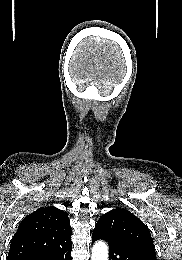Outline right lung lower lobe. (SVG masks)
I'll return each mask as SVG.
<instances>
[{
  "instance_id": "obj_1",
  "label": "right lung lower lobe",
  "mask_w": 182,
  "mask_h": 260,
  "mask_svg": "<svg viewBox=\"0 0 182 260\" xmlns=\"http://www.w3.org/2000/svg\"><path fill=\"white\" fill-rule=\"evenodd\" d=\"M71 249L72 245L67 246L63 249H58L52 252L31 257L28 260H72Z\"/></svg>"
}]
</instances>
